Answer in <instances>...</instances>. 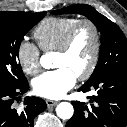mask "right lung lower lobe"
Wrapping results in <instances>:
<instances>
[{
	"label": "right lung lower lobe",
	"instance_id": "1",
	"mask_svg": "<svg viewBox=\"0 0 127 127\" xmlns=\"http://www.w3.org/2000/svg\"><path fill=\"white\" fill-rule=\"evenodd\" d=\"M28 81L17 87L0 86V127H33L34 118L43 112L47 104L38 97H26L24 109L14 108V101H19V94L28 90Z\"/></svg>",
	"mask_w": 127,
	"mask_h": 127
}]
</instances>
